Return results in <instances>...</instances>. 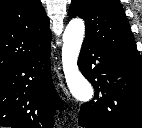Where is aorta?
Segmentation results:
<instances>
[{
    "label": "aorta",
    "instance_id": "1",
    "mask_svg": "<svg viewBox=\"0 0 142 128\" xmlns=\"http://www.w3.org/2000/svg\"><path fill=\"white\" fill-rule=\"evenodd\" d=\"M84 35V21L79 18L72 19L63 34L62 65L71 94L81 102H89L93 98V88L77 65Z\"/></svg>",
    "mask_w": 142,
    "mask_h": 128
}]
</instances>
